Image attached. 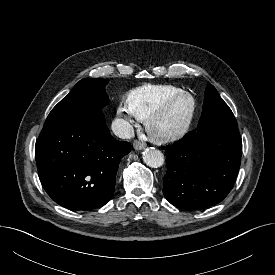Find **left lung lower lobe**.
Wrapping results in <instances>:
<instances>
[{
	"label": "left lung lower lobe",
	"mask_w": 275,
	"mask_h": 275,
	"mask_svg": "<svg viewBox=\"0 0 275 275\" xmlns=\"http://www.w3.org/2000/svg\"><path fill=\"white\" fill-rule=\"evenodd\" d=\"M162 149L167 165L163 193L172 205L205 209L220 203L232 190L241 163L240 134L194 131Z\"/></svg>",
	"instance_id": "0a47b994"
}]
</instances>
